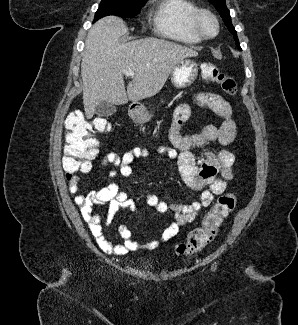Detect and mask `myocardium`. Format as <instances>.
Segmentation results:
<instances>
[{
	"mask_svg": "<svg viewBox=\"0 0 298 325\" xmlns=\"http://www.w3.org/2000/svg\"><path fill=\"white\" fill-rule=\"evenodd\" d=\"M204 19H208L213 26V33L211 35H207L203 30L202 22ZM190 25L192 30L204 41L211 40L215 38L218 34V25L215 21V18L207 10H198L196 14L192 17Z\"/></svg>",
	"mask_w": 298,
	"mask_h": 325,
	"instance_id": "myocardium-1",
	"label": "myocardium"
}]
</instances>
